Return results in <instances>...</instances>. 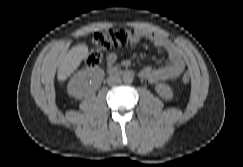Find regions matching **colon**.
Returning a JSON list of instances; mask_svg holds the SVG:
<instances>
[{
	"label": "colon",
	"instance_id": "1",
	"mask_svg": "<svg viewBox=\"0 0 243 167\" xmlns=\"http://www.w3.org/2000/svg\"><path fill=\"white\" fill-rule=\"evenodd\" d=\"M132 38V31L128 28H112L96 32L93 37V48L86 58L89 67H98L104 62V53L110 49L126 46ZM182 82H190L189 74L182 76Z\"/></svg>",
	"mask_w": 243,
	"mask_h": 167
}]
</instances>
